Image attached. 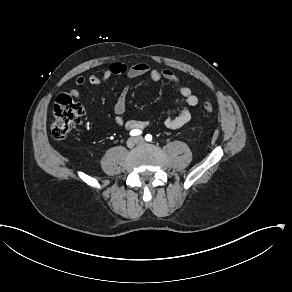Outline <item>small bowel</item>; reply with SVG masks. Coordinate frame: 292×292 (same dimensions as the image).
<instances>
[{
  "instance_id": "c3829d8e",
  "label": "small bowel",
  "mask_w": 292,
  "mask_h": 292,
  "mask_svg": "<svg viewBox=\"0 0 292 292\" xmlns=\"http://www.w3.org/2000/svg\"><path fill=\"white\" fill-rule=\"evenodd\" d=\"M113 75H125L129 78H135L143 75H148L153 81L167 80L176 85L180 84L179 77L169 69L152 68L147 63H137L127 65L122 62H113L102 74H91L88 77L79 76L75 80V84L79 87L90 85H101L108 81ZM180 94L184 98L186 106L181 108L179 112L165 120V126L170 129H177L185 126L192 117L191 108L198 104V97L194 94L192 89L188 86H180ZM72 96H78V91L72 89L70 91ZM129 94V86L125 85L119 92V96L114 105L115 118L114 122L118 127H125L127 129H143L149 125L147 121H125L122 115L126 111V102Z\"/></svg>"
}]
</instances>
